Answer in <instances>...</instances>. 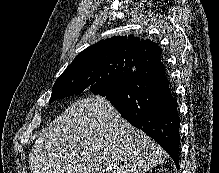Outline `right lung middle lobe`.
Wrapping results in <instances>:
<instances>
[{
    "instance_id": "1",
    "label": "right lung middle lobe",
    "mask_w": 219,
    "mask_h": 173,
    "mask_svg": "<svg viewBox=\"0 0 219 173\" xmlns=\"http://www.w3.org/2000/svg\"><path fill=\"white\" fill-rule=\"evenodd\" d=\"M133 70L134 67L128 63L114 62L82 71L66 72L56 80L50 102L84 90L105 97L123 76Z\"/></svg>"
}]
</instances>
